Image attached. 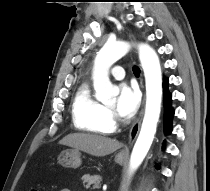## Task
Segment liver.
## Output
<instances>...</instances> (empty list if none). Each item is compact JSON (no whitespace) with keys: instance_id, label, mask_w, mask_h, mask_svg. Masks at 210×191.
Wrapping results in <instances>:
<instances>
[{"instance_id":"1","label":"liver","mask_w":210,"mask_h":191,"mask_svg":"<svg viewBox=\"0 0 210 191\" xmlns=\"http://www.w3.org/2000/svg\"><path fill=\"white\" fill-rule=\"evenodd\" d=\"M59 144L81 150L93 156H106L123 146L115 139L96 134L74 133L65 136Z\"/></svg>"}]
</instances>
